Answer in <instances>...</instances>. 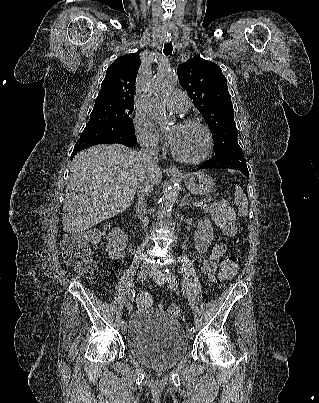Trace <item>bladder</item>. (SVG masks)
<instances>
[{"mask_svg": "<svg viewBox=\"0 0 319 403\" xmlns=\"http://www.w3.org/2000/svg\"><path fill=\"white\" fill-rule=\"evenodd\" d=\"M129 354L153 370L174 367L189 353L187 334L181 323L164 311L142 308L134 311L126 331Z\"/></svg>", "mask_w": 319, "mask_h": 403, "instance_id": "obj_1", "label": "bladder"}]
</instances>
